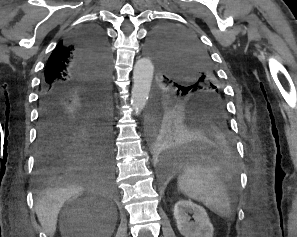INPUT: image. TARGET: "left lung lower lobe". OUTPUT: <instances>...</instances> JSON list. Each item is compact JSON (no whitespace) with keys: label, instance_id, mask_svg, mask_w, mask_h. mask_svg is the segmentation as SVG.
I'll use <instances>...</instances> for the list:
<instances>
[{"label":"left lung lower lobe","instance_id":"left-lung-lower-lobe-1","mask_svg":"<svg viewBox=\"0 0 297 237\" xmlns=\"http://www.w3.org/2000/svg\"><path fill=\"white\" fill-rule=\"evenodd\" d=\"M165 103L171 100L167 91ZM180 116L174 133L161 132L155 142V157L171 169L190 163L213 162L231 156L234 141L227 115L212 103H173Z\"/></svg>","mask_w":297,"mask_h":237}]
</instances>
